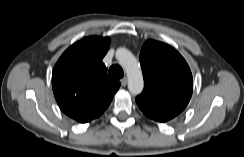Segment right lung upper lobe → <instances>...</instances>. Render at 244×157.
<instances>
[{"instance_id":"cb5924a9","label":"right lung upper lobe","mask_w":244,"mask_h":157,"mask_svg":"<svg viewBox=\"0 0 244 157\" xmlns=\"http://www.w3.org/2000/svg\"><path fill=\"white\" fill-rule=\"evenodd\" d=\"M110 38L91 36L71 45L52 73V86L60 109L70 118L87 123L108 108L120 82L107 76L102 59Z\"/></svg>"}]
</instances>
